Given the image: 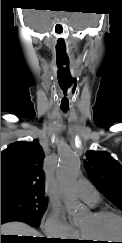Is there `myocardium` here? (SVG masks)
<instances>
[{
    "mask_svg": "<svg viewBox=\"0 0 122 243\" xmlns=\"http://www.w3.org/2000/svg\"><path fill=\"white\" fill-rule=\"evenodd\" d=\"M94 217L96 218H103V217H107V216H113L116 217L117 219H119L120 221H122V214L113 211V210H108V209H100V210H95L91 213ZM80 237L82 239H87L88 237L80 230Z\"/></svg>",
    "mask_w": 122,
    "mask_h": 243,
    "instance_id": "myocardium-1",
    "label": "myocardium"
}]
</instances>
